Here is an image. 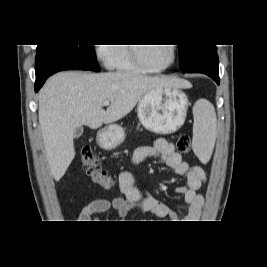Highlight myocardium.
I'll return each mask as SVG.
<instances>
[{
    "mask_svg": "<svg viewBox=\"0 0 267 267\" xmlns=\"http://www.w3.org/2000/svg\"><path fill=\"white\" fill-rule=\"evenodd\" d=\"M136 45L137 44H131V46H129L131 59L139 68H141L142 70H144L146 72L157 73V72L165 71V70L169 69L170 67H172L176 61L177 48L174 44H170L171 50H172V58H171L170 62L168 64H166L165 66H162V67H158V68L150 67L142 60L139 49H138L139 46H136Z\"/></svg>",
    "mask_w": 267,
    "mask_h": 267,
    "instance_id": "f54148a6",
    "label": "myocardium"
}]
</instances>
